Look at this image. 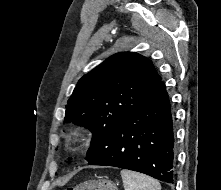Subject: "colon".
Masks as SVG:
<instances>
[{
    "label": "colon",
    "instance_id": "5ec220e1",
    "mask_svg": "<svg viewBox=\"0 0 221 190\" xmlns=\"http://www.w3.org/2000/svg\"><path fill=\"white\" fill-rule=\"evenodd\" d=\"M65 190H117V188L108 179H94L70 186Z\"/></svg>",
    "mask_w": 221,
    "mask_h": 190
}]
</instances>
